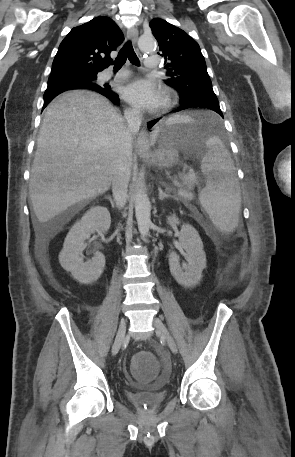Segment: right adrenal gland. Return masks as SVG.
I'll use <instances>...</instances> for the list:
<instances>
[{
  "mask_svg": "<svg viewBox=\"0 0 295 457\" xmlns=\"http://www.w3.org/2000/svg\"><path fill=\"white\" fill-rule=\"evenodd\" d=\"M105 198H106L107 200H109V202H110L112 208H114V207H115V204H114V201H113L112 197H111V196H105Z\"/></svg>",
  "mask_w": 295,
  "mask_h": 457,
  "instance_id": "right-adrenal-gland-1",
  "label": "right adrenal gland"
}]
</instances>
